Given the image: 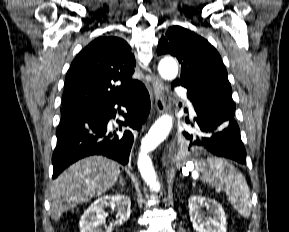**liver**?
<instances>
[{
    "label": "liver",
    "mask_w": 289,
    "mask_h": 232,
    "mask_svg": "<svg viewBox=\"0 0 289 232\" xmlns=\"http://www.w3.org/2000/svg\"><path fill=\"white\" fill-rule=\"evenodd\" d=\"M120 174L117 162L103 156H91L71 165L53 181L50 211L53 220L75 205L110 190Z\"/></svg>",
    "instance_id": "obj_1"
}]
</instances>
